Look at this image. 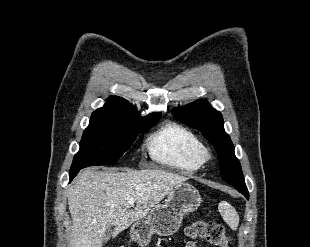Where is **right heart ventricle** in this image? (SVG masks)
Here are the masks:
<instances>
[{
	"mask_svg": "<svg viewBox=\"0 0 310 247\" xmlns=\"http://www.w3.org/2000/svg\"><path fill=\"white\" fill-rule=\"evenodd\" d=\"M146 145L152 159L164 166L193 172L202 164L199 155L205 146L194 132L180 124H165L148 137Z\"/></svg>",
	"mask_w": 310,
	"mask_h": 247,
	"instance_id": "1",
	"label": "right heart ventricle"
}]
</instances>
